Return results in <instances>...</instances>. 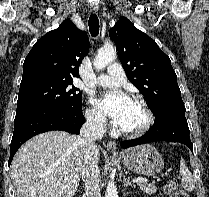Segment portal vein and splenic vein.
<instances>
[{
  "mask_svg": "<svg viewBox=\"0 0 209 197\" xmlns=\"http://www.w3.org/2000/svg\"><path fill=\"white\" fill-rule=\"evenodd\" d=\"M134 183H146L148 180L144 178H135L132 180Z\"/></svg>",
  "mask_w": 209,
  "mask_h": 197,
  "instance_id": "obj_1",
  "label": "portal vein and splenic vein"
}]
</instances>
